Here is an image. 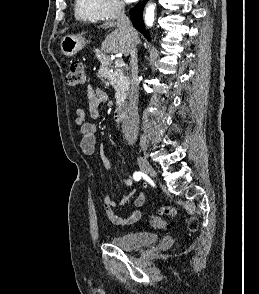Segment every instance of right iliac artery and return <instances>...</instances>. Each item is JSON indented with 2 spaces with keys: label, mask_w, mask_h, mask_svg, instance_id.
Instances as JSON below:
<instances>
[{
  "label": "right iliac artery",
  "mask_w": 259,
  "mask_h": 294,
  "mask_svg": "<svg viewBox=\"0 0 259 294\" xmlns=\"http://www.w3.org/2000/svg\"><path fill=\"white\" fill-rule=\"evenodd\" d=\"M141 176L146 177V175L141 172H135L133 177L136 181H139L141 179Z\"/></svg>",
  "instance_id": "82829eb1"
}]
</instances>
